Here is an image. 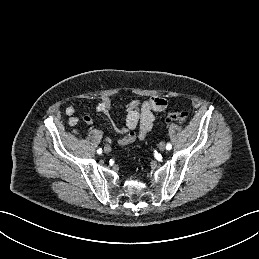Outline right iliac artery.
Returning <instances> with one entry per match:
<instances>
[{
  "instance_id": "obj_1",
  "label": "right iliac artery",
  "mask_w": 259,
  "mask_h": 259,
  "mask_svg": "<svg viewBox=\"0 0 259 259\" xmlns=\"http://www.w3.org/2000/svg\"><path fill=\"white\" fill-rule=\"evenodd\" d=\"M97 153L101 154V153H102V149L99 148V149L97 150Z\"/></svg>"
}]
</instances>
